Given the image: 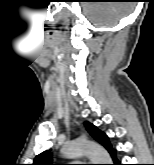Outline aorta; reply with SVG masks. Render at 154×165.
<instances>
[{"label": "aorta", "instance_id": "762f6f07", "mask_svg": "<svg viewBox=\"0 0 154 165\" xmlns=\"http://www.w3.org/2000/svg\"><path fill=\"white\" fill-rule=\"evenodd\" d=\"M62 154L65 158L73 159L88 155L93 164H111L108 152L100 145L92 142L74 141L64 145Z\"/></svg>", "mask_w": 154, "mask_h": 165}]
</instances>
